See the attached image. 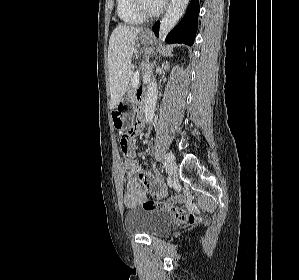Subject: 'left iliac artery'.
I'll list each match as a JSON object with an SVG mask.
<instances>
[{"instance_id":"obj_1","label":"left iliac artery","mask_w":299,"mask_h":280,"mask_svg":"<svg viewBox=\"0 0 299 280\" xmlns=\"http://www.w3.org/2000/svg\"><path fill=\"white\" fill-rule=\"evenodd\" d=\"M165 162H172L174 160V156L171 153H167L164 157Z\"/></svg>"}]
</instances>
